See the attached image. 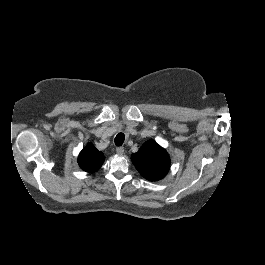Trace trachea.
Instances as JSON below:
<instances>
[{
  "instance_id": "trachea-1",
  "label": "trachea",
  "mask_w": 265,
  "mask_h": 265,
  "mask_svg": "<svg viewBox=\"0 0 265 265\" xmlns=\"http://www.w3.org/2000/svg\"><path fill=\"white\" fill-rule=\"evenodd\" d=\"M124 139H125V135L123 133H119L116 137H115V145L116 146H121L124 143Z\"/></svg>"
}]
</instances>
